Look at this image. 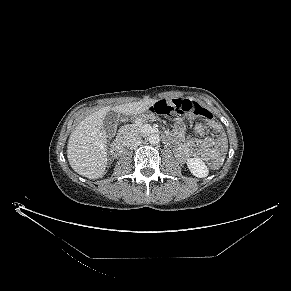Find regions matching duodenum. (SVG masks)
Here are the masks:
<instances>
[{
	"mask_svg": "<svg viewBox=\"0 0 291 291\" xmlns=\"http://www.w3.org/2000/svg\"><path fill=\"white\" fill-rule=\"evenodd\" d=\"M156 133V132H153ZM125 147V139L123 137H119L115 139L112 143L111 150L114 156H119Z\"/></svg>",
	"mask_w": 291,
	"mask_h": 291,
	"instance_id": "410a0bca",
	"label": "duodenum"
}]
</instances>
